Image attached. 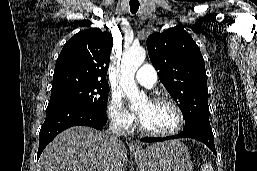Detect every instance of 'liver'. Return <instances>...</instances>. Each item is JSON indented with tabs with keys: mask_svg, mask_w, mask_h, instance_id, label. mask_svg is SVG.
I'll list each match as a JSON object with an SVG mask.
<instances>
[{
	"mask_svg": "<svg viewBox=\"0 0 257 171\" xmlns=\"http://www.w3.org/2000/svg\"><path fill=\"white\" fill-rule=\"evenodd\" d=\"M126 165L127 150L117 136L75 126L48 144L38 171H125Z\"/></svg>",
	"mask_w": 257,
	"mask_h": 171,
	"instance_id": "liver-1",
	"label": "liver"
}]
</instances>
